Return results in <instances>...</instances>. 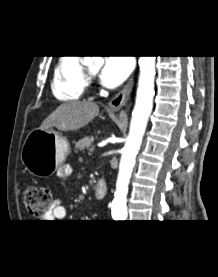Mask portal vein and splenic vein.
Listing matches in <instances>:
<instances>
[{
	"mask_svg": "<svg viewBox=\"0 0 218 277\" xmlns=\"http://www.w3.org/2000/svg\"><path fill=\"white\" fill-rule=\"evenodd\" d=\"M94 151V147H91L90 149H89V152H93Z\"/></svg>",
	"mask_w": 218,
	"mask_h": 277,
	"instance_id": "1",
	"label": "portal vein and splenic vein"
}]
</instances>
